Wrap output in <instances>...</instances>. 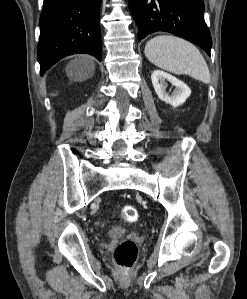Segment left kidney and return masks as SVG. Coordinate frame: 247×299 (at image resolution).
I'll use <instances>...</instances> for the list:
<instances>
[{
	"mask_svg": "<svg viewBox=\"0 0 247 299\" xmlns=\"http://www.w3.org/2000/svg\"><path fill=\"white\" fill-rule=\"evenodd\" d=\"M151 80L158 97L161 100L169 103L173 107L182 105L191 94L190 88L185 83L164 71H153ZM166 80L175 86V90L173 91L171 96L166 93Z\"/></svg>",
	"mask_w": 247,
	"mask_h": 299,
	"instance_id": "obj_1",
	"label": "left kidney"
}]
</instances>
